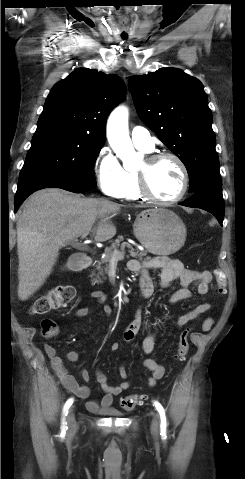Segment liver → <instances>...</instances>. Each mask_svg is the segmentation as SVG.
I'll return each mask as SVG.
<instances>
[{
  "label": "liver",
  "mask_w": 245,
  "mask_h": 479,
  "mask_svg": "<svg viewBox=\"0 0 245 479\" xmlns=\"http://www.w3.org/2000/svg\"><path fill=\"white\" fill-rule=\"evenodd\" d=\"M121 205L100 198H81L59 189H43L24 203L17 219L18 297L27 300L50 275L59 249L91 232L104 242L116 234L107 217Z\"/></svg>",
  "instance_id": "6515ba94"
}]
</instances>
